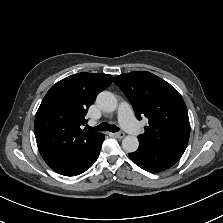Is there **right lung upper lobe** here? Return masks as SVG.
Listing matches in <instances>:
<instances>
[{
  "label": "right lung upper lobe",
  "instance_id": "1",
  "mask_svg": "<svg viewBox=\"0 0 223 223\" xmlns=\"http://www.w3.org/2000/svg\"><path fill=\"white\" fill-rule=\"evenodd\" d=\"M112 83V76L78 73L54 84L43 98L35 116V137L48 166L71 176L93 155L101 133L81 129L85 115L98 93Z\"/></svg>",
  "mask_w": 223,
  "mask_h": 223
}]
</instances>
